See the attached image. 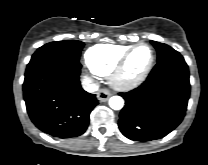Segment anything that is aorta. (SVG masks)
<instances>
[{"label":"aorta","instance_id":"762f6f07","mask_svg":"<svg viewBox=\"0 0 208 165\" xmlns=\"http://www.w3.org/2000/svg\"><path fill=\"white\" fill-rule=\"evenodd\" d=\"M109 106L114 110H120L124 106V100L120 96H112L109 99Z\"/></svg>","mask_w":208,"mask_h":165}]
</instances>
